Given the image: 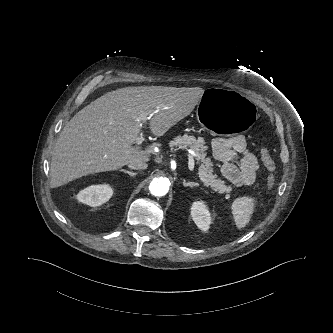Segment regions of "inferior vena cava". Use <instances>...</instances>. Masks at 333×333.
<instances>
[{
    "label": "inferior vena cava",
    "instance_id": "602c4592",
    "mask_svg": "<svg viewBox=\"0 0 333 333\" xmlns=\"http://www.w3.org/2000/svg\"><path fill=\"white\" fill-rule=\"evenodd\" d=\"M128 167L131 169H146L148 165L142 160H132L128 163Z\"/></svg>",
    "mask_w": 333,
    "mask_h": 333
}]
</instances>
